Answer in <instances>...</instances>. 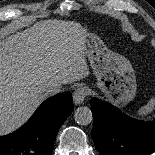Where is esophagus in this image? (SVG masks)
I'll list each match as a JSON object with an SVG mask.
<instances>
[{
  "label": "esophagus",
  "mask_w": 155,
  "mask_h": 155,
  "mask_svg": "<svg viewBox=\"0 0 155 155\" xmlns=\"http://www.w3.org/2000/svg\"><path fill=\"white\" fill-rule=\"evenodd\" d=\"M88 94V89L86 87H79L75 92H74V95H73V100H74V103L76 105H79L81 104L85 97L87 96Z\"/></svg>",
  "instance_id": "obj_1"
}]
</instances>
